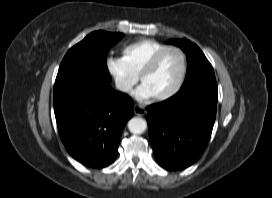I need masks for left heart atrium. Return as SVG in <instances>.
<instances>
[{"label": "left heart atrium", "mask_w": 272, "mask_h": 198, "mask_svg": "<svg viewBox=\"0 0 272 198\" xmlns=\"http://www.w3.org/2000/svg\"><path fill=\"white\" fill-rule=\"evenodd\" d=\"M135 96L140 100H147L152 98V94L146 88L145 85L141 84L135 91Z\"/></svg>", "instance_id": "39dd6f15"}]
</instances>
